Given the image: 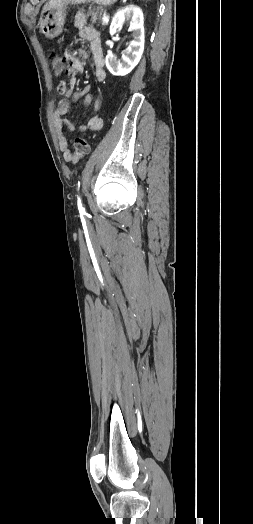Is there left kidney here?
<instances>
[{
	"mask_svg": "<svg viewBox=\"0 0 253 524\" xmlns=\"http://www.w3.org/2000/svg\"><path fill=\"white\" fill-rule=\"evenodd\" d=\"M125 22L130 23L129 30L133 32V40L129 43L126 54L122 56L121 60L116 59L113 54H108L105 59L107 69L116 76L130 73L139 63L144 51V26L141 9L131 5L118 11L110 25V34H116Z\"/></svg>",
	"mask_w": 253,
	"mask_h": 524,
	"instance_id": "5707ae66",
	"label": "left kidney"
}]
</instances>
